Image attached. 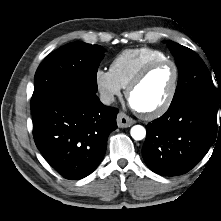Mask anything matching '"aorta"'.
Wrapping results in <instances>:
<instances>
[{
	"mask_svg": "<svg viewBox=\"0 0 221 221\" xmlns=\"http://www.w3.org/2000/svg\"><path fill=\"white\" fill-rule=\"evenodd\" d=\"M130 134L134 140H142L146 136V130L141 125H135L131 128Z\"/></svg>",
	"mask_w": 221,
	"mask_h": 221,
	"instance_id": "obj_1",
	"label": "aorta"
}]
</instances>
